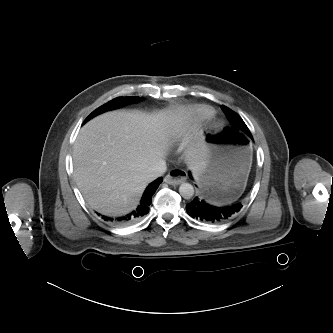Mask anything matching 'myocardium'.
Returning a JSON list of instances; mask_svg holds the SVG:
<instances>
[{"mask_svg": "<svg viewBox=\"0 0 333 333\" xmlns=\"http://www.w3.org/2000/svg\"><path fill=\"white\" fill-rule=\"evenodd\" d=\"M209 126H210L211 130H216V128H217V124H216V122H211V123L209 124Z\"/></svg>", "mask_w": 333, "mask_h": 333, "instance_id": "1", "label": "myocardium"}]
</instances>
